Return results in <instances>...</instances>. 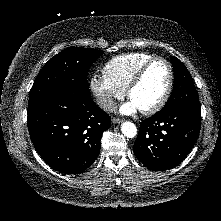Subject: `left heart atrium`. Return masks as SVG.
<instances>
[{"instance_id": "obj_1", "label": "left heart atrium", "mask_w": 221, "mask_h": 221, "mask_svg": "<svg viewBox=\"0 0 221 221\" xmlns=\"http://www.w3.org/2000/svg\"><path fill=\"white\" fill-rule=\"evenodd\" d=\"M138 110V107L130 100L129 102L122 105L120 112L122 114H131Z\"/></svg>"}]
</instances>
